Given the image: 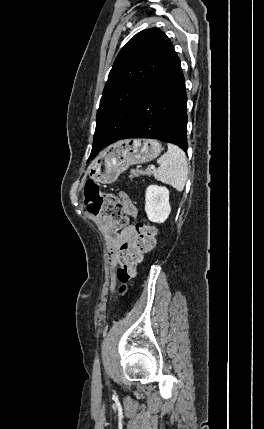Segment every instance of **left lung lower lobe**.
Instances as JSON below:
<instances>
[{
    "instance_id": "1",
    "label": "left lung lower lobe",
    "mask_w": 264,
    "mask_h": 429,
    "mask_svg": "<svg viewBox=\"0 0 264 429\" xmlns=\"http://www.w3.org/2000/svg\"><path fill=\"white\" fill-rule=\"evenodd\" d=\"M186 106L180 59L171 45L160 74L143 97L136 118L122 139L154 138L174 143L186 152Z\"/></svg>"
}]
</instances>
